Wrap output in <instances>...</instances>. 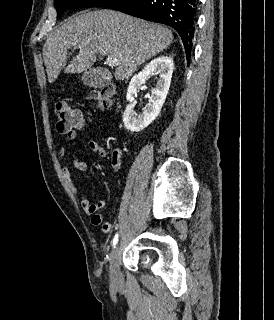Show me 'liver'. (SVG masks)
<instances>
[{
	"instance_id": "liver-1",
	"label": "liver",
	"mask_w": 274,
	"mask_h": 320,
	"mask_svg": "<svg viewBox=\"0 0 274 320\" xmlns=\"http://www.w3.org/2000/svg\"><path fill=\"white\" fill-rule=\"evenodd\" d=\"M173 42L171 30L114 10H84L56 26L43 46L48 82L58 78L68 50H79L64 72L91 70L99 56L117 58L115 80H129L146 60L154 58Z\"/></svg>"
}]
</instances>
